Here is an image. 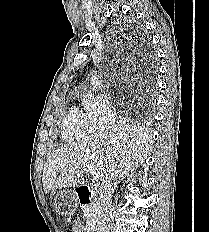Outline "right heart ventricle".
Returning <instances> with one entry per match:
<instances>
[{"mask_svg": "<svg viewBox=\"0 0 209 232\" xmlns=\"http://www.w3.org/2000/svg\"><path fill=\"white\" fill-rule=\"evenodd\" d=\"M61 130L67 142L85 139L92 134L88 115L74 105L66 112Z\"/></svg>", "mask_w": 209, "mask_h": 232, "instance_id": "right-heart-ventricle-1", "label": "right heart ventricle"}]
</instances>
